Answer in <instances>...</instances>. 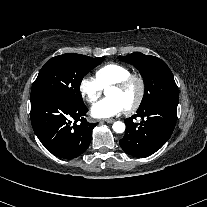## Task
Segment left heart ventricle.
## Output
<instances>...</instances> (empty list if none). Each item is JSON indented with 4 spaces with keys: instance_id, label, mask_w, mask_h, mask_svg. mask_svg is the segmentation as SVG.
Instances as JSON below:
<instances>
[{
    "instance_id": "left-heart-ventricle-1",
    "label": "left heart ventricle",
    "mask_w": 207,
    "mask_h": 207,
    "mask_svg": "<svg viewBox=\"0 0 207 207\" xmlns=\"http://www.w3.org/2000/svg\"><path fill=\"white\" fill-rule=\"evenodd\" d=\"M137 94H138V87L136 84H133L129 88L123 91H120L112 87L109 91L108 96L110 98L119 99L127 108L136 99Z\"/></svg>"
}]
</instances>
